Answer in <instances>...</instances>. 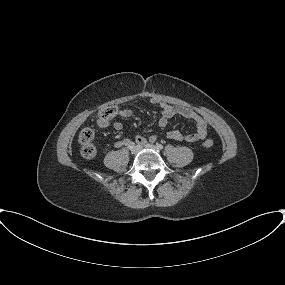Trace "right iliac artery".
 <instances>
[{
    "instance_id": "1",
    "label": "right iliac artery",
    "mask_w": 285,
    "mask_h": 285,
    "mask_svg": "<svg viewBox=\"0 0 285 285\" xmlns=\"http://www.w3.org/2000/svg\"><path fill=\"white\" fill-rule=\"evenodd\" d=\"M126 146H128V148L131 150V149H133V148L135 147V143L129 141V142L126 144Z\"/></svg>"
}]
</instances>
